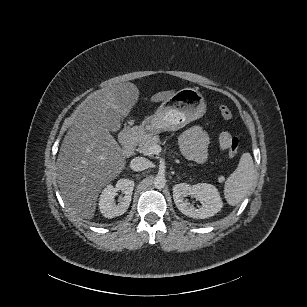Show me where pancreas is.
<instances>
[{"mask_svg":"<svg viewBox=\"0 0 307 307\" xmlns=\"http://www.w3.org/2000/svg\"><path fill=\"white\" fill-rule=\"evenodd\" d=\"M160 138L158 135L155 136H146L141 141L137 142L136 144L139 146L138 151L143 153L146 156H152L153 153L150 148L156 144H160Z\"/></svg>","mask_w":307,"mask_h":307,"instance_id":"pancreas-1","label":"pancreas"}]
</instances>
